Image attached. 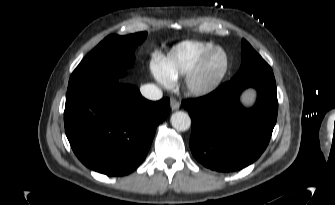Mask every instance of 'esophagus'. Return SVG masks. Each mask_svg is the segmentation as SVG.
<instances>
[{"label": "esophagus", "instance_id": "esophagus-1", "mask_svg": "<svg viewBox=\"0 0 335 205\" xmlns=\"http://www.w3.org/2000/svg\"><path fill=\"white\" fill-rule=\"evenodd\" d=\"M170 105H171L172 110H178L179 107H180L179 102L176 99H174V98H172L170 100Z\"/></svg>", "mask_w": 335, "mask_h": 205}]
</instances>
